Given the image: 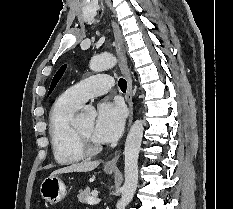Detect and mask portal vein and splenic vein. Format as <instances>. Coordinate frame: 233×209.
<instances>
[{
    "label": "portal vein and splenic vein",
    "instance_id": "obj_1",
    "mask_svg": "<svg viewBox=\"0 0 233 209\" xmlns=\"http://www.w3.org/2000/svg\"><path fill=\"white\" fill-rule=\"evenodd\" d=\"M99 202H100V199L99 198H94V197H89V198H87V203L89 204V205H96V204H99Z\"/></svg>",
    "mask_w": 233,
    "mask_h": 209
}]
</instances>
